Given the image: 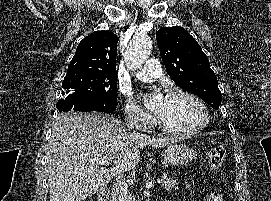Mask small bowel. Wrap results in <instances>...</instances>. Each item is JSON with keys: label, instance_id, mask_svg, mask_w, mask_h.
<instances>
[{"label": "small bowel", "instance_id": "obj_1", "mask_svg": "<svg viewBox=\"0 0 271 201\" xmlns=\"http://www.w3.org/2000/svg\"><path fill=\"white\" fill-rule=\"evenodd\" d=\"M208 201H222V198L220 195L216 194V195H210L208 197Z\"/></svg>", "mask_w": 271, "mask_h": 201}]
</instances>
